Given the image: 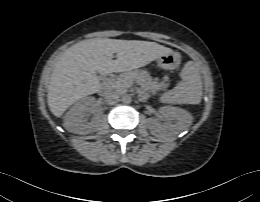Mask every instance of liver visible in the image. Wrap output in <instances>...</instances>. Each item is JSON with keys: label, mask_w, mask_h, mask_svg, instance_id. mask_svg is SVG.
Listing matches in <instances>:
<instances>
[{"label": "liver", "mask_w": 260, "mask_h": 202, "mask_svg": "<svg viewBox=\"0 0 260 202\" xmlns=\"http://www.w3.org/2000/svg\"><path fill=\"white\" fill-rule=\"evenodd\" d=\"M171 52L170 48L150 41L108 38L80 41L69 47L55 64L47 94L49 109L61 117L76 101L98 92L101 84L97 72L107 75L131 71Z\"/></svg>", "instance_id": "6515ba94"}]
</instances>
